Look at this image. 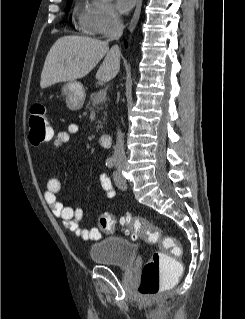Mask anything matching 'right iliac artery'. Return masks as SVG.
<instances>
[{"label": "right iliac artery", "mask_w": 245, "mask_h": 319, "mask_svg": "<svg viewBox=\"0 0 245 319\" xmlns=\"http://www.w3.org/2000/svg\"><path fill=\"white\" fill-rule=\"evenodd\" d=\"M114 165H115V160L112 157H110L106 160V166L108 168H112Z\"/></svg>", "instance_id": "obj_1"}]
</instances>
